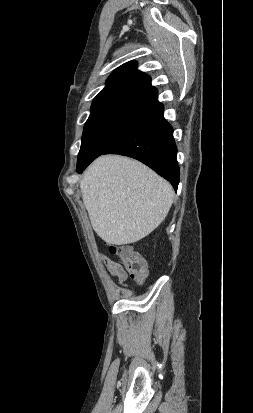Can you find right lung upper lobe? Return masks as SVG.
I'll return each mask as SVG.
<instances>
[{
    "label": "right lung upper lobe",
    "instance_id": "1",
    "mask_svg": "<svg viewBox=\"0 0 253 413\" xmlns=\"http://www.w3.org/2000/svg\"><path fill=\"white\" fill-rule=\"evenodd\" d=\"M136 66V62L130 61L114 71L106 87L94 98L89 118L111 113L150 118L163 110L150 77Z\"/></svg>",
    "mask_w": 253,
    "mask_h": 413
}]
</instances>
